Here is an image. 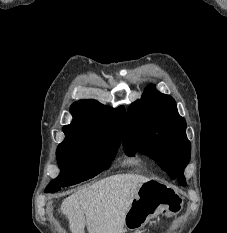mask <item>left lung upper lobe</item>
<instances>
[{"mask_svg":"<svg viewBox=\"0 0 227 233\" xmlns=\"http://www.w3.org/2000/svg\"><path fill=\"white\" fill-rule=\"evenodd\" d=\"M185 130L186 121L178 114L175 100L149 85L128 108L123 147L129 156L137 151L150 156L185 186L183 172L191 155Z\"/></svg>","mask_w":227,"mask_h":233,"instance_id":"left-lung-upper-lobe-1","label":"left lung upper lobe"}]
</instances>
